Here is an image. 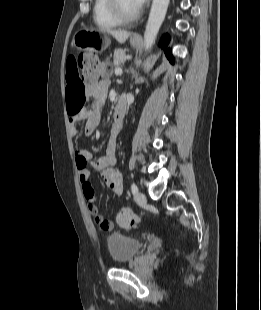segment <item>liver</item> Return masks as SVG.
<instances>
[{"label":"liver","instance_id":"obj_1","mask_svg":"<svg viewBox=\"0 0 261 310\" xmlns=\"http://www.w3.org/2000/svg\"><path fill=\"white\" fill-rule=\"evenodd\" d=\"M107 32L121 44L125 43L130 36V32L124 30H108Z\"/></svg>","mask_w":261,"mask_h":310}]
</instances>
